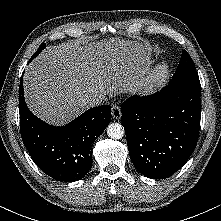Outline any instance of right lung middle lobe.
<instances>
[{"instance_id":"right-lung-middle-lobe-1","label":"right lung middle lobe","mask_w":221,"mask_h":221,"mask_svg":"<svg viewBox=\"0 0 221 221\" xmlns=\"http://www.w3.org/2000/svg\"><path fill=\"white\" fill-rule=\"evenodd\" d=\"M44 48H45V44H42V45L39 47L38 51L35 52V54L32 56V58H35Z\"/></svg>"}]
</instances>
